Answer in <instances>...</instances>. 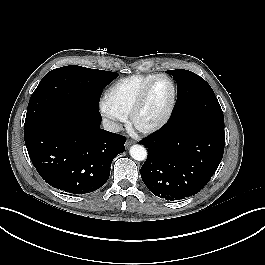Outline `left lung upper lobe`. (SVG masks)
<instances>
[{
  "mask_svg": "<svg viewBox=\"0 0 265 265\" xmlns=\"http://www.w3.org/2000/svg\"><path fill=\"white\" fill-rule=\"evenodd\" d=\"M166 72L177 82V101L169 123L201 120L224 127L220 104L212 88L202 77L183 69Z\"/></svg>",
  "mask_w": 265,
  "mask_h": 265,
  "instance_id": "obj_1",
  "label": "left lung upper lobe"
}]
</instances>
